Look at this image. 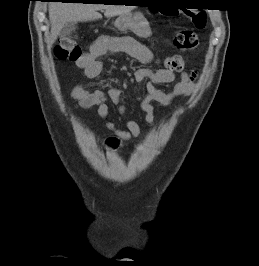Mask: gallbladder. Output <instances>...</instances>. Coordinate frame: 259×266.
<instances>
[{
	"mask_svg": "<svg viewBox=\"0 0 259 266\" xmlns=\"http://www.w3.org/2000/svg\"><path fill=\"white\" fill-rule=\"evenodd\" d=\"M77 28L76 23L75 22H70L67 23L61 30L60 35L61 36H67L69 35L71 32L75 31Z\"/></svg>",
	"mask_w": 259,
	"mask_h": 266,
	"instance_id": "1",
	"label": "gallbladder"
}]
</instances>
